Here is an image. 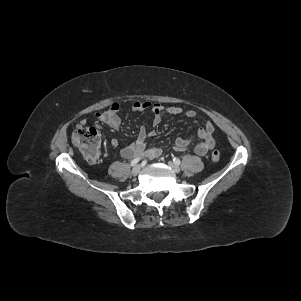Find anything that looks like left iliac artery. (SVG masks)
<instances>
[{
    "instance_id": "44dca946",
    "label": "left iliac artery",
    "mask_w": 301,
    "mask_h": 301,
    "mask_svg": "<svg viewBox=\"0 0 301 301\" xmlns=\"http://www.w3.org/2000/svg\"><path fill=\"white\" fill-rule=\"evenodd\" d=\"M173 161H174V163L177 164V165L180 164V159H179V158H174Z\"/></svg>"
}]
</instances>
